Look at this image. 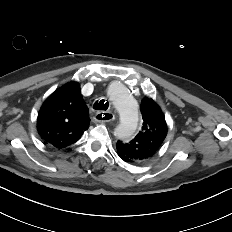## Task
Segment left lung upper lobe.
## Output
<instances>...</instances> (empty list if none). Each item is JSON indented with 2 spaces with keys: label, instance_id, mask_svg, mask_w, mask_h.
Listing matches in <instances>:
<instances>
[{
  "label": "left lung upper lobe",
  "instance_id": "left-lung-upper-lobe-1",
  "mask_svg": "<svg viewBox=\"0 0 232 232\" xmlns=\"http://www.w3.org/2000/svg\"><path fill=\"white\" fill-rule=\"evenodd\" d=\"M140 110L143 118L140 132L130 142L118 141L116 144L117 153L135 164L149 161L157 153L167 134L165 117L151 98L141 101Z\"/></svg>",
  "mask_w": 232,
  "mask_h": 232
}]
</instances>
